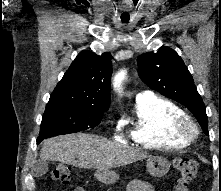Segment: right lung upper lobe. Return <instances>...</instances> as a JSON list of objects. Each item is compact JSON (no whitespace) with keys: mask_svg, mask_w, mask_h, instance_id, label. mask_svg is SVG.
Instances as JSON below:
<instances>
[{"mask_svg":"<svg viewBox=\"0 0 221 191\" xmlns=\"http://www.w3.org/2000/svg\"><path fill=\"white\" fill-rule=\"evenodd\" d=\"M110 53L83 50L52 92L47 106L82 105L108 110L110 106Z\"/></svg>","mask_w":221,"mask_h":191,"instance_id":"right-lung-upper-lobe-1","label":"right lung upper lobe"}]
</instances>
